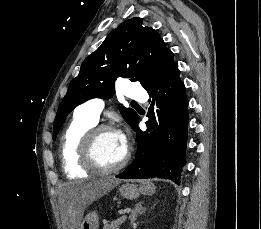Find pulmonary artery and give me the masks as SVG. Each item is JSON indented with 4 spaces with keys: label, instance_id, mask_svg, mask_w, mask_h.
I'll use <instances>...</instances> for the list:
<instances>
[{
    "label": "pulmonary artery",
    "instance_id": "pulmonary-artery-1",
    "mask_svg": "<svg viewBox=\"0 0 261 229\" xmlns=\"http://www.w3.org/2000/svg\"><path fill=\"white\" fill-rule=\"evenodd\" d=\"M142 87V84H126L125 88L129 89V92H125V94L131 99H147V90L142 89ZM139 104L145 105L146 101L140 100ZM104 107L105 101L102 98H93L80 105V111L83 116L97 124Z\"/></svg>",
    "mask_w": 261,
    "mask_h": 229
}]
</instances>
